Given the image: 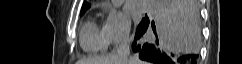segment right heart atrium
<instances>
[{
    "instance_id": "1",
    "label": "right heart atrium",
    "mask_w": 242,
    "mask_h": 64,
    "mask_svg": "<svg viewBox=\"0 0 242 64\" xmlns=\"http://www.w3.org/2000/svg\"><path fill=\"white\" fill-rule=\"evenodd\" d=\"M131 22L125 14L111 9L109 10L103 32L108 45L117 46L129 41Z\"/></svg>"
}]
</instances>
